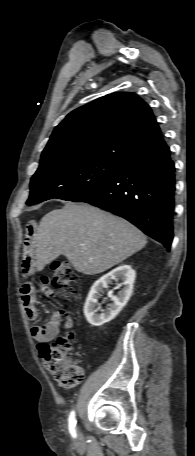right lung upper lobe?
<instances>
[{
	"instance_id": "1",
	"label": "right lung upper lobe",
	"mask_w": 195,
	"mask_h": 456,
	"mask_svg": "<svg viewBox=\"0 0 195 456\" xmlns=\"http://www.w3.org/2000/svg\"><path fill=\"white\" fill-rule=\"evenodd\" d=\"M164 146L151 108L134 93L116 92L69 113L54 129L40 164L68 158L122 164Z\"/></svg>"
}]
</instances>
